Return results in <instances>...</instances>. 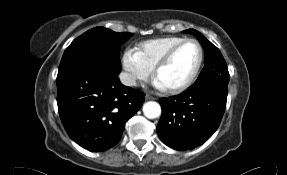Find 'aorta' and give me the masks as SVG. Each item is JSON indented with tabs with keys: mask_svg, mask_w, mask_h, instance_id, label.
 I'll return each instance as SVG.
<instances>
[{
	"mask_svg": "<svg viewBox=\"0 0 287 175\" xmlns=\"http://www.w3.org/2000/svg\"><path fill=\"white\" fill-rule=\"evenodd\" d=\"M143 113L149 119H154L160 116L161 107L157 102L149 101L143 105Z\"/></svg>",
	"mask_w": 287,
	"mask_h": 175,
	"instance_id": "762f6f07",
	"label": "aorta"
}]
</instances>
